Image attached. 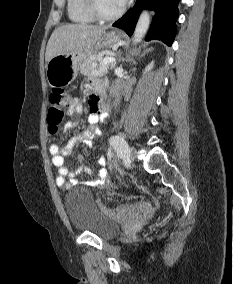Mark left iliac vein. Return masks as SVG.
Returning <instances> with one entry per match:
<instances>
[{
	"label": "left iliac vein",
	"instance_id": "obj_1",
	"mask_svg": "<svg viewBox=\"0 0 233 284\" xmlns=\"http://www.w3.org/2000/svg\"><path fill=\"white\" fill-rule=\"evenodd\" d=\"M136 157V152L134 149H129L128 153L124 157V161L127 165H130Z\"/></svg>",
	"mask_w": 233,
	"mask_h": 284
}]
</instances>
